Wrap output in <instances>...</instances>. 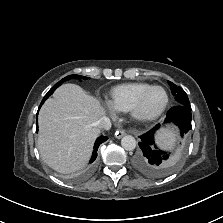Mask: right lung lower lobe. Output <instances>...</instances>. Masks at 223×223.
Here are the masks:
<instances>
[{"label": "right lung lower lobe", "mask_w": 223, "mask_h": 223, "mask_svg": "<svg viewBox=\"0 0 223 223\" xmlns=\"http://www.w3.org/2000/svg\"><path fill=\"white\" fill-rule=\"evenodd\" d=\"M47 98H43L41 104H40V107L42 106V104L44 103V101L46 100ZM37 118V116H36ZM36 123H37V119H36ZM36 129H38V125H36ZM108 138L107 137H104V136H101L99 137L96 142H95V145H94V151H93V154H92V157H91V160H90V163H93L97 157V150H98V147L101 143L105 142Z\"/></svg>", "instance_id": "obj_1"}]
</instances>
